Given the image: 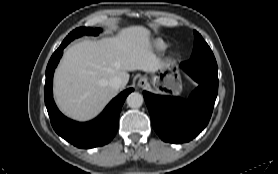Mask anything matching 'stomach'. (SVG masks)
Here are the masks:
<instances>
[{
    "label": "stomach",
    "mask_w": 278,
    "mask_h": 174,
    "mask_svg": "<svg viewBox=\"0 0 278 174\" xmlns=\"http://www.w3.org/2000/svg\"><path fill=\"white\" fill-rule=\"evenodd\" d=\"M159 70L162 76H153L151 81L155 90L157 92L162 90L164 93H170L172 95L180 94L182 83L179 75L170 70L169 66L165 64Z\"/></svg>",
    "instance_id": "0dacf381"
}]
</instances>
